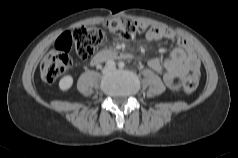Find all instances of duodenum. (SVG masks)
Masks as SVG:
<instances>
[{
	"label": "duodenum",
	"instance_id": "1",
	"mask_svg": "<svg viewBox=\"0 0 238 158\" xmlns=\"http://www.w3.org/2000/svg\"><path fill=\"white\" fill-rule=\"evenodd\" d=\"M130 57L131 56L129 54L105 50V51H101L97 53L92 59L91 63L93 65H96L104 61H109L113 59H124V58H130Z\"/></svg>",
	"mask_w": 238,
	"mask_h": 158
}]
</instances>
